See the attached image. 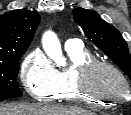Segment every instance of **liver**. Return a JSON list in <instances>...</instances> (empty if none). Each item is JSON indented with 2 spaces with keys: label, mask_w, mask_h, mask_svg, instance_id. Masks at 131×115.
<instances>
[{
  "label": "liver",
  "mask_w": 131,
  "mask_h": 115,
  "mask_svg": "<svg viewBox=\"0 0 131 115\" xmlns=\"http://www.w3.org/2000/svg\"><path fill=\"white\" fill-rule=\"evenodd\" d=\"M0 115H95L75 107H60L42 104H6L0 105Z\"/></svg>",
  "instance_id": "6515ba94"
}]
</instances>
